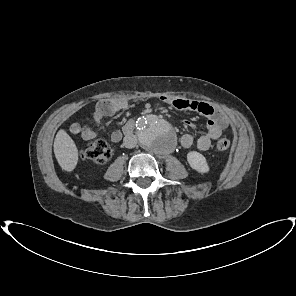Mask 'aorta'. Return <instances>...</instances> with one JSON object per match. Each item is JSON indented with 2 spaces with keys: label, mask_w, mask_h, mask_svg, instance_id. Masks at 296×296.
I'll use <instances>...</instances> for the list:
<instances>
[{
  "label": "aorta",
  "mask_w": 296,
  "mask_h": 296,
  "mask_svg": "<svg viewBox=\"0 0 296 296\" xmlns=\"http://www.w3.org/2000/svg\"><path fill=\"white\" fill-rule=\"evenodd\" d=\"M137 129L139 143L146 151L163 155L175 148V132L167 121L147 115L138 120Z\"/></svg>",
  "instance_id": "aorta-1"
}]
</instances>
